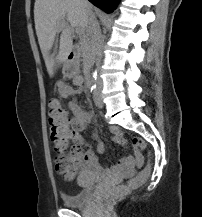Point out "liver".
Masks as SVG:
<instances>
[{"instance_id": "1", "label": "liver", "mask_w": 202, "mask_h": 217, "mask_svg": "<svg viewBox=\"0 0 202 217\" xmlns=\"http://www.w3.org/2000/svg\"><path fill=\"white\" fill-rule=\"evenodd\" d=\"M90 5V4H89ZM91 9L92 6L90 5ZM65 19L71 27L87 31V14L80 0H35L34 21L40 49L50 76L54 75L56 63L65 62L72 51V28L65 25ZM60 36L59 52L56 57L50 55L56 33Z\"/></svg>"}]
</instances>
